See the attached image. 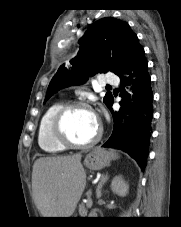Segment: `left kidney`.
Segmentation results:
<instances>
[{"label":"left kidney","mask_w":181,"mask_h":227,"mask_svg":"<svg viewBox=\"0 0 181 227\" xmlns=\"http://www.w3.org/2000/svg\"><path fill=\"white\" fill-rule=\"evenodd\" d=\"M128 184L122 178V176H115L111 182V189L119 196H126L128 193Z\"/></svg>","instance_id":"5707ae66"}]
</instances>
